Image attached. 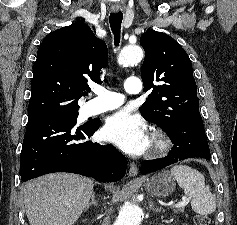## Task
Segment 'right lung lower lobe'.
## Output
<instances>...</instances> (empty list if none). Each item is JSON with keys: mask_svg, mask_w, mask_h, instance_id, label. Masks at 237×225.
Here are the masks:
<instances>
[{"mask_svg": "<svg viewBox=\"0 0 237 225\" xmlns=\"http://www.w3.org/2000/svg\"><path fill=\"white\" fill-rule=\"evenodd\" d=\"M75 121L58 117L28 120L21 157L22 181L53 172H70L115 182L126 173V158L112 145L83 141L100 121L75 127Z\"/></svg>", "mask_w": 237, "mask_h": 225, "instance_id": "right-lung-lower-lobe-1", "label": "right lung lower lobe"}]
</instances>
